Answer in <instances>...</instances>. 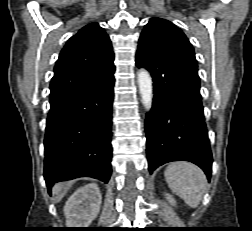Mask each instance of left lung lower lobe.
<instances>
[{"mask_svg":"<svg viewBox=\"0 0 252 231\" xmlns=\"http://www.w3.org/2000/svg\"><path fill=\"white\" fill-rule=\"evenodd\" d=\"M136 65L149 70L154 82L145 120L150 173L164 163L185 160L202 168L210 180L213 159L197 62L177 53L138 50Z\"/></svg>","mask_w":252,"mask_h":231,"instance_id":"obj_1","label":"left lung lower lobe"}]
</instances>
